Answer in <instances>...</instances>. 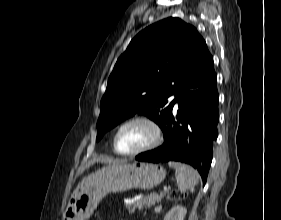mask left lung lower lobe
<instances>
[{
	"label": "left lung lower lobe",
	"instance_id": "obj_1",
	"mask_svg": "<svg viewBox=\"0 0 281 220\" xmlns=\"http://www.w3.org/2000/svg\"><path fill=\"white\" fill-rule=\"evenodd\" d=\"M174 95V104L178 102L179 110L172 109L162 128L164 144L135 159L146 162L176 160L190 164L199 171L205 184L219 121L217 75L209 51L191 66Z\"/></svg>",
	"mask_w": 281,
	"mask_h": 220
}]
</instances>
